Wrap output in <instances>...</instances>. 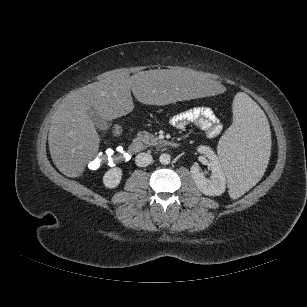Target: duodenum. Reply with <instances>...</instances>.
<instances>
[{"mask_svg":"<svg viewBox=\"0 0 307 307\" xmlns=\"http://www.w3.org/2000/svg\"><path fill=\"white\" fill-rule=\"evenodd\" d=\"M162 144L167 147H177L178 146V143L174 141H170V140H163ZM141 149H142V143L139 141H133L128 145L126 150L129 152V156H134L138 154L141 151Z\"/></svg>","mask_w":307,"mask_h":307,"instance_id":"1","label":"duodenum"}]
</instances>
